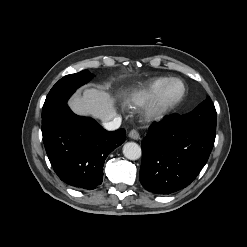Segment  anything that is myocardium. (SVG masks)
<instances>
[{
	"instance_id": "obj_1",
	"label": "myocardium",
	"mask_w": 247,
	"mask_h": 247,
	"mask_svg": "<svg viewBox=\"0 0 247 247\" xmlns=\"http://www.w3.org/2000/svg\"><path fill=\"white\" fill-rule=\"evenodd\" d=\"M172 83H179L181 91L176 98L171 101L165 100V92ZM186 94V86L179 78H170L166 80L157 90L154 96L147 104L144 111V118L148 122H157L170 115L183 101Z\"/></svg>"
}]
</instances>
